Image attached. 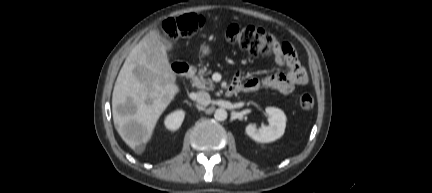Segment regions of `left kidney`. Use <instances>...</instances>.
<instances>
[{"label":"left kidney","mask_w":432,"mask_h":193,"mask_svg":"<svg viewBox=\"0 0 432 193\" xmlns=\"http://www.w3.org/2000/svg\"><path fill=\"white\" fill-rule=\"evenodd\" d=\"M265 112L268 115V126L257 129L255 125L249 124L245 128L246 134L260 143H269L279 139L283 136L286 127V116L282 110L267 107Z\"/></svg>","instance_id":"left-kidney-1"}]
</instances>
